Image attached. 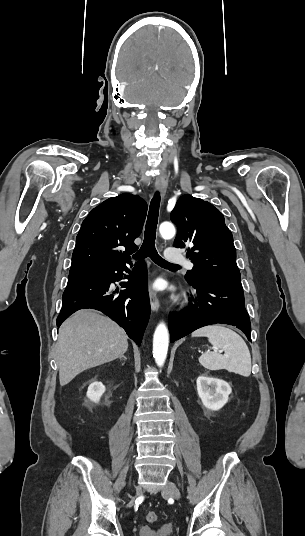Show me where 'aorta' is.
I'll return each instance as SVG.
<instances>
[{"label":"aorta","instance_id":"1","mask_svg":"<svg viewBox=\"0 0 305 536\" xmlns=\"http://www.w3.org/2000/svg\"><path fill=\"white\" fill-rule=\"evenodd\" d=\"M159 232L164 239H171L175 235V227L170 222H163L159 227ZM169 345V334L167 326L162 322L155 329L153 336V357L156 364L162 367L165 363Z\"/></svg>","mask_w":305,"mask_h":536}]
</instances>
